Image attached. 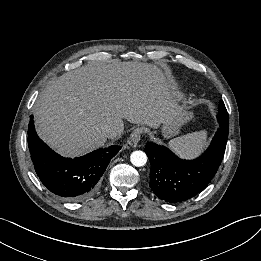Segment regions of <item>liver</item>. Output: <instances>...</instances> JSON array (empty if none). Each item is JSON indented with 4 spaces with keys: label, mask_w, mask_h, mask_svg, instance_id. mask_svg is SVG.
<instances>
[{
    "label": "liver",
    "mask_w": 261,
    "mask_h": 261,
    "mask_svg": "<svg viewBox=\"0 0 261 261\" xmlns=\"http://www.w3.org/2000/svg\"><path fill=\"white\" fill-rule=\"evenodd\" d=\"M168 71L142 62L90 63L45 87L34 107L38 135L63 156L105 144L106 126L124 130L123 119L159 127L183 107Z\"/></svg>",
    "instance_id": "liver-1"
}]
</instances>
